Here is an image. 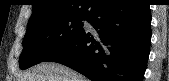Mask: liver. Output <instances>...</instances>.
<instances>
[{"label":"liver","mask_w":169,"mask_h":81,"mask_svg":"<svg viewBox=\"0 0 169 81\" xmlns=\"http://www.w3.org/2000/svg\"><path fill=\"white\" fill-rule=\"evenodd\" d=\"M18 81H88L76 71L55 62H42L25 71Z\"/></svg>","instance_id":"obj_1"}]
</instances>
